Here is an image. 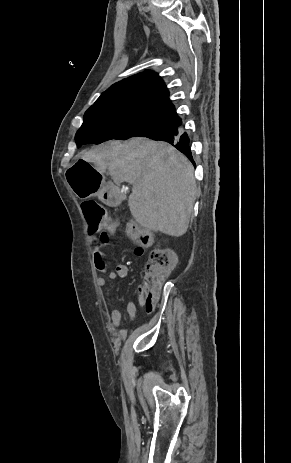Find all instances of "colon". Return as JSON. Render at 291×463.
I'll list each match as a JSON object with an SVG mask.
<instances>
[{
  "mask_svg": "<svg viewBox=\"0 0 291 463\" xmlns=\"http://www.w3.org/2000/svg\"><path fill=\"white\" fill-rule=\"evenodd\" d=\"M81 207L91 232H110L115 229L108 211L96 201L86 200ZM125 233L137 245L151 248L142 285L145 307L147 312H151L162 282L176 265V255L168 248L155 246L150 233L134 222L126 225Z\"/></svg>",
  "mask_w": 291,
  "mask_h": 463,
  "instance_id": "5ec220e1",
  "label": "colon"
}]
</instances>
